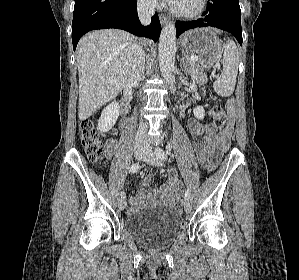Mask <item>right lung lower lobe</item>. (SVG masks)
I'll list each match as a JSON object with an SVG mask.
<instances>
[{"mask_svg": "<svg viewBox=\"0 0 299 280\" xmlns=\"http://www.w3.org/2000/svg\"><path fill=\"white\" fill-rule=\"evenodd\" d=\"M105 28L123 29L154 41L158 40L161 31L157 13L149 26L140 23L136 0H75L72 22L74 50L85 33Z\"/></svg>", "mask_w": 299, "mask_h": 280, "instance_id": "98d812e1", "label": "right lung lower lobe"}]
</instances>
